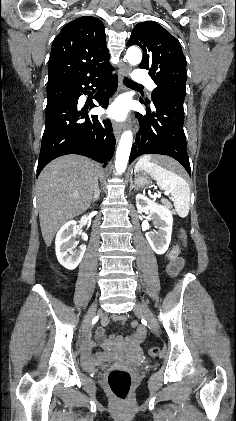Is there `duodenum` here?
Returning a JSON list of instances; mask_svg holds the SVG:
<instances>
[{
    "label": "duodenum",
    "instance_id": "obj_1",
    "mask_svg": "<svg viewBox=\"0 0 236 421\" xmlns=\"http://www.w3.org/2000/svg\"><path fill=\"white\" fill-rule=\"evenodd\" d=\"M181 265H182L181 262L176 257V252L173 251L170 254V266H169L170 273L171 274L177 273L179 271V269L181 268ZM133 338L134 337H132V339ZM112 342H113V339L105 341L103 343V345L105 347H109ZM91 347H92V343H91L90 339H86V341L84 342V345L82 347V350H81L82 362L88 368H94L107 359V355H105V354H97V355L91 354V352H90Z\"/></svg>",
    "mask_w": 236,
    "mask_h": 421
}]
</instances>
